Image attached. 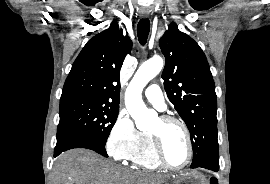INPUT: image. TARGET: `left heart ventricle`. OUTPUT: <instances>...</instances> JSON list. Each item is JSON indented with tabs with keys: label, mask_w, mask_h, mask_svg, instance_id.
Listing matches in <instances>:
<instances>
[{
	"label": "left heart ventricle",
	"mask_w": 270,
	"mask_h": 184,
	"mask_svg": "<svg viewBox=\"0 0 270 184\" xmlns=\"http://www.w3.org/2000/svg\"><path fill=\"white\" fill-rule=\"evenodd\" d=\"M150 132L161 137L164 156L169 164L179 166L184 163L187 158V143L180 126L176 124L165 125L158 119Z\"/></svg>",
	"instance_id": "b2bd125f"
}]
</instances>
